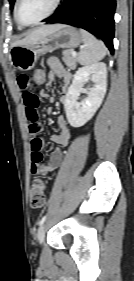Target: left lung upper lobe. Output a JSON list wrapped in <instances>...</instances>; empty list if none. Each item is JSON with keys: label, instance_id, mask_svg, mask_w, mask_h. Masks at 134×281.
Masks as SVG:
<instances>
[{"label": "left lung upper lobe", "instance_id": "left-lung-upper-lobe-1", "mask_svg": "<svg viewBox=\"0 0 134 281\" xmlns=\"http://www.w3.org/2000/svg\"><path fill=\"white\" fill-rule=\"evenodd\" d=\"M9 2H10V5H11V9H13V5H14V2H15V0H9Z\"/></svg>", "mask_w": 134, "mask_h": 281}]
</instances>
